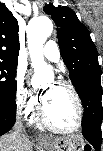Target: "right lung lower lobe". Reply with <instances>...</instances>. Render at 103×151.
Segmentation results:
<instances>
[{"label": "right lung lower lobe", "instance_id": "obj_1", "mask_svg": "<svg viewBox=\"0 0 103 151\" xmlns=\"http://www.w3.org/2000/svg\"><path fill=\"white\" fill-rule=\"evenodd\" d=\"M16 111L0 107V135L8 132L15 123Z\"/></svg>", "mask_w": 103, "mask_h": 151}]
</instances>
